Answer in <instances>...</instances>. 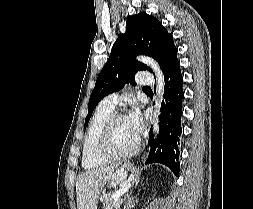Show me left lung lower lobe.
Returning a JSON list of instances; mask_svg holds the SVG:
<instances>
[{
	"label": "left lung lower lobe",
	"mask_w": 253,
	"mask_h": 209,
	"mask_svg": "<svg viewBox=\"0 0 253 209\" xmlns=\"http://www.w3.org/2000/svg\"><path fill=\"white\" fill-rule=\"evenodd\" d=\"M164 80V100L161 104V114L159 116L160 131L155 142L152 131H150L149 145L151 149L146 164H164L178 176L180 170L178 161L179 144L182 133V100L184 98L183 77L179 61H176L166 71Z\"/></svg>",
	"instance_id": "left-lung-lower-lobe-1"
}]
</instances>
